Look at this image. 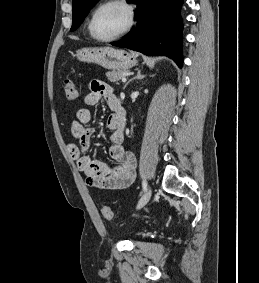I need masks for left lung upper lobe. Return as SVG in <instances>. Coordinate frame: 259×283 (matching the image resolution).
I'll return each instance as SVG.
<instances>
[{"label": "left lung upper lobe", "mask_w": 259, "mask_h": 283, "mask_svg": "<svg viewBox=\"0 0 259 283\" xmlns=\"http://www.w3.org/2000/svg\"><path fill=\"white\" fill-rule=\"evenodd\" d=\"M99 0H72V18L73 24L71 27V31L76 30L79 25L83 22L86 17L88 11L91 7L98 2ZM132 2L133 0H127Z\"/></svg>", "instance_id": "5c2ea615"}]
</instances>
